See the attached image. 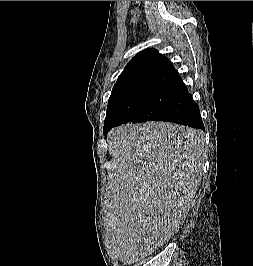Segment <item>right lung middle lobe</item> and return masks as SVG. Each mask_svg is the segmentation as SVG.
<instances>
[{
    "instance_id": "dd1d6c3e",
    "label": "right lung middle lobe",
    "mask_w": 253,
    "mask_h": 266,
    "mask_svg": "<svg viewBox=\"0 0 253 266\" xmlns=\"http://www.w3.org/2000/svg\"><path fill=\"white\" fill-rule=\"evenodd\" d=\"M173 89L174 85H157L109 101L104 127L114 122L158 120L170 105Z\"/></svg>"
}]
</instances>
